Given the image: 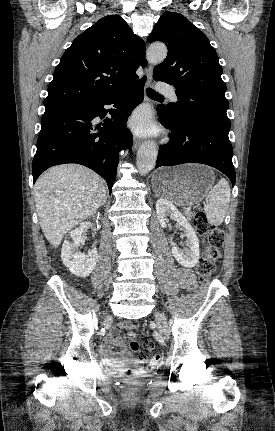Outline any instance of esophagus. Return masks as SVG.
I'll use <instances>...</instances> for the list:
<instances>
[{"label": "esophagus", "instance_id": "1", "mask_svg": "<svg viewBox=\"0 0 275 431\" xmlns=\"http://www.w3.org/2000/svg\"><path fill=\"white\" fill-rule=\"evenodd\" d=\"M145 76H146L145 86L149 87L150 84H151V80H152V67L151 66H149L145 70ZM140 145H141V140L138 139V138H134V140H133V147H134V149H137Z\"/></svg>", "mask_w": 275, "mask_h": 431}]
</instances>
